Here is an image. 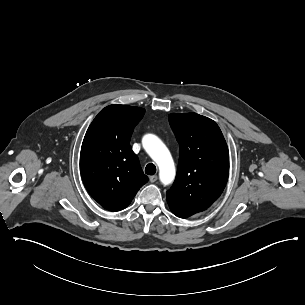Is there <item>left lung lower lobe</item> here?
<instances>
[{
    "label": "left lung lower lobe",
    "instance_id": "obj_1",
    "mask_svg": "<svg viewBox=\"0 0 305 305\" xmlns=\"http://www.w3.org/2000/svg\"><path fill=\"white\" fill-rule=\"evenodd\" d=\"M170 209H171V211L173 212V214L176 215L177 217H180V218H187V217L191 216V215L182 213V212H180V211H178V210H175V209H172V208H170Z\"/></svg>",
    "mask_w": 305,
    "mask_h": 305
}]
</instances>
